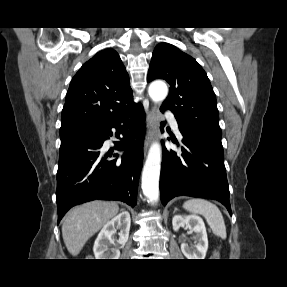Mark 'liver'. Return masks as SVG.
<instances>
[{
  "label": "liver",
  "instance_id": "1",
  "mask_svg": "<svg viewBox=\"0 0 287 287\" xmlns=\"http://www.w3.org/2000/svg\"><path fill=\"white\" fill-rule=\"evenodd\" d=\"M119 212L115 202L92 201L70 210L62 225V236L67 250L77 256L87 240Z\"/></svg>",
  "mask_w": 287,
  "mask_h": 287
}]
</instances>
